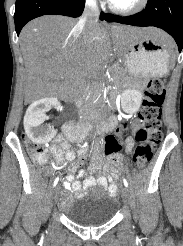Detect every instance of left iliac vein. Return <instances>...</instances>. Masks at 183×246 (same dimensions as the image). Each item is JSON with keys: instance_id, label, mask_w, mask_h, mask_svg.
<instances>
[{"instance_id": "1", "label": "left iliac vein", "mask_w": 183, "mask_h": 246, "mask_svg": "<svg viewBox=\"0 0 183 246\" xmlns=\"http://www.w3.org/2000/svg\"><path fill=\"white\" fill-rule=\"evenodd\" d=\"M122 199L126 207L130 204V194L127 188L122 189Z\"/></svg>"}]
</instances>
